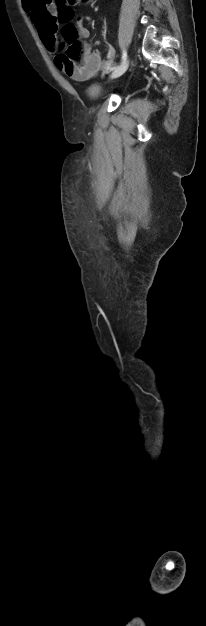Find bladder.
<instances>
[{
	"label": "bladder",
	"instance_id": "bladder-1",
	"mask_svg": "<svg viewBox=\"0 0 206 626\" xmlns=\"http://www.w3.org/2000/svg\"><path fill=\"white\" fill-rule=\"evenodd\" d=\"M103 93L102 90L99 86H91L88 90H87V96L91 99V100H99L102 97Z\"/></svg>",
	"mask_w": 206,
	"mask_h": 626
}]
</instances>
